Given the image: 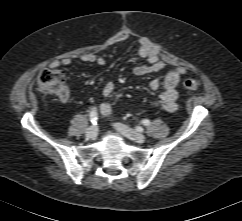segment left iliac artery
Masks as SVG:
<instances>
[{"instance_id":"obj_1","label":"left iliac artery","mask_w":242,"mask_h":221,"mask_svg":"<svg viewBox=\"0 0 242 221\" xmlns=\"http://www.w3.org/2000/svg\"><path fill=\"white\" fill-rule=\"evenodd\" d=\"M142 124L144 126H149L150 125V121L148 119H144V120H142Z\"/></svg>"}]
</instances>
